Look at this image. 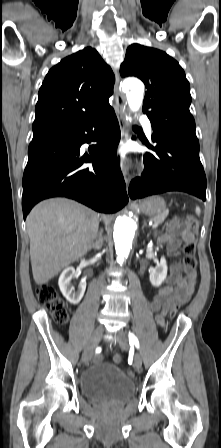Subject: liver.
I'll use <instances>...</instances> for the list:
<instances>
[{"instance_id":"obj_1","label":"liver","mask_w":221,"mask_h":448,"mask_svg":"<svg viewBox=\"0 0 221 448\" xmlns=\"http://www.w3.org/2000/svg\"><path fill=\"white\" fill-rule=\"evenodd\" d=\"M100 220L98 213L69 199L37 204L26 220L35 283H47L82 258L97 236Z\"/></svg>"}]
</instances>
